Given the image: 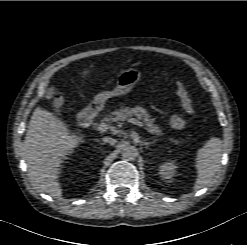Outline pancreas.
<instances>
[{
  "label": "pancreas",
  "instance_id": "obj_1",
  "mask_svg": "<svg viewBox=\"0 0 247 245\" xmlns=\"http://www.w3.org/2000/svg\"><path fill=\"white\" fill-rule=\"evenodd\" d=\"M136 116L138 119L145 121V128L146 130L154 134L156 136H162L163 131L162 129L154 123L155 119L150 118L147 111L143 108L138 107H121L120 109H117L111 113V115H108L104 117L102 121L106 122H123L128 117ZM174 144H182V141L170 139Z\"/></svg>",
  "mask_w": 247,
  "mask_h": 245
}]
</instances>
